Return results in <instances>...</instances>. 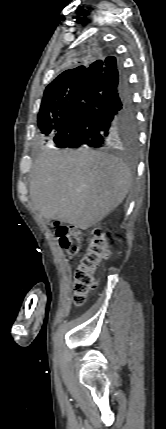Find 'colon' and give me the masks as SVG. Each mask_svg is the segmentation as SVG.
<instances>
[{
    "instance_id": "1",
    "label": "colon",
    "mask_w": 166,
    "mask_h": 429,
    "mask_svg": "<svg viewBox=\"0 0 166 429\" xmlns=\"http://www.w3.org/2000/svg\"><path fill=\"white\" fill-rule=\"evenodd\" d=\"M56 236L61 248L69 256H74L81 250V238L79 230L75 226L58 223ZM109 255L110 244L107 235L103 230L96 229L75 271L73 282V302L75 305H83L88 295L95 288L94 274Z\"/></svg>"
}]
</instances>
